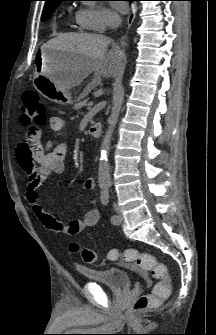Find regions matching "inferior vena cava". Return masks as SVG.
Here are the masks:
<instances>
[{
	"label": "inferior vena cava",
	"mask_w": 216,
	"mask_h": 335,
	"mask_svg": "<svg viewBox=\"0 0 216 335\" xmlns=\"http://www.w3.org/2000/svg\"><path fill=\"white\" fill-rule=\"evenodd\" d=\"M121 24V19L120 18H115L111 24V27L113 29L119 27V25Z\"/></svg>",
	"instance_id": "obj_1"
}]
</instances>
